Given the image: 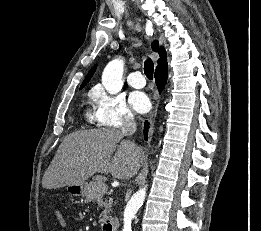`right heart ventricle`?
Masks as SVG:
<instances>
[{"label":"right heart ventricle","instance_id":"obj_1","mask_svg":"<svg viewBox=\"0 0 261 231\" xmlns=\"http://www.w3.org/2000/svg\"><path fill=\"white\" fill-rule=\"evenodd\" d=\"M84 116H85L86 121L89 122L90 124H93V123L96 122L95 114H94L93 111L87 110V111L85 112V115H84Z\"/></svg>","mask_w":261,"mask_h":231}]
</instances>
